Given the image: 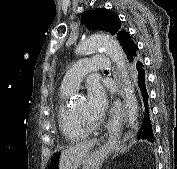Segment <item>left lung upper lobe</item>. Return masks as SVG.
<instances>
[{"mask_svg": "<svg viewBox=\"0 0 177 169\" xmlns=\"http://www.w3.org/2000/svg\"><path fill=\"white\" fill-rule=\"evenodd\" d=\"M81 19L88 25L89 29H100L115 36L125 53L128 45L134 42L130 34L122 28L119 17L108 9L101 8L91 12H83ZM138 59H140L139 55Z\"/></svg>", "mask_w": 177, "mask_h": 169, "instance_id": "obj_1", "label": "left lung upper lobe"}]
</instances>
